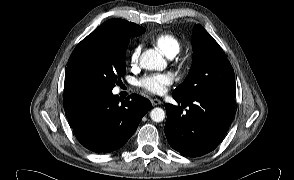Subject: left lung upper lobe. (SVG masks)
<instances>
[{
	"instance_id": "1",
	"label": "left lung upper lobe",
	"mask_w": 294,
	"mask_h": 180,
	"mask_svg": "<svg viewBox=\"0 0 294 180\" xmlns=\"http://www.w3.org/2000/svg\"><path fill=\"white\" fill-rule=\"evenodd\" d=\"M193 63L185 81L172 94L236 96L235 74L218 43L200 24L192 35Z\"/></svg>"
}]
</instances>
